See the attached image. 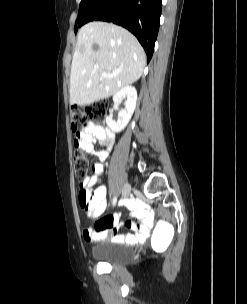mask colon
<instances>
[{
  "mask_svg": "<svg viewBox=\"0 0 247 304\" xmlns=\"http://www.w3.org/2000/svg\"><path fill=\"white\" fill-rule=\"evenodd\" d=\"M109 104L105 100L93 102L84 108H73L71 111V127L75 134V154L74 170L80 185V197L83 200V182L87 177L89 161L83 150L79 147L77 138L81 132L92 121H102L107 115ZM170 220H157L153 229L152 237H149V244L152 246V253H165V248H169L170 240H174Z\"/></svg>",
  "mask_w": 247,
  "mask_h": 304,
  "instance_id": "5ec220e1",
  "label": "colon"
}]
</instances>
